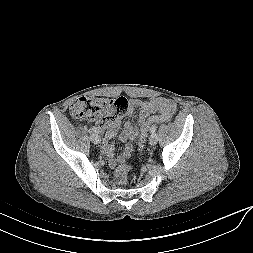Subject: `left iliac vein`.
Returning <instances> with one entry per match:
<instances>
[{"instance_id": "1", "label": "left iliac vein", "mask_w": 253, "mask_h": 253, "mask_svg": "<svg viewBox=\"0 0 253 253\" xmlns=\"http://www.w3.org/2000/svg\"><path fill=\"white\" fill-rule=\"evenodd\" d=\"M157 141H158V136H157V134L154 132V133H152V134L150 135V137H149V144H150V145H155V144L157 143Z\"/></svg>"}]
</instances>
